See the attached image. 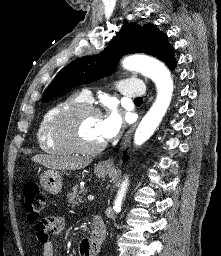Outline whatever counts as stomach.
Masks as SVG:
<instances>
[{
  "mask_svg": "<svg viewBox=\"0 0 221 256\" xmlns=\"http://www.w3.org/2000/svg\"><path fill=\"white\" fill-rule=\"evenodd\" d=\"M94 172L98 177L103 178L112 173L113 169L96 166ZM40 185L45 191L54 195L58 194L62 189V174L57 170L45 171L40 176Z\"/></svg>",
  "mask_w": 221,
  "mask_h": 256,
  "instance_id": "1",
  "label": "stomach"
}]
</instances>
